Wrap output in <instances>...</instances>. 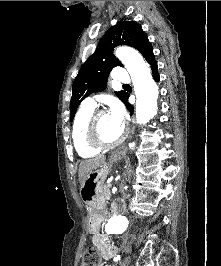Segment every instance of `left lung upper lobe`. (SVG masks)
<instances>
[{"mask_svg": "<svg viewBox=\"0 0 221 266\" xmlns=\"http://www.w3.org/2000/svg\"><path fill=\"white\" fill-rule=\"evenodd\" d=\"M118 45L136 48L149 64L155 61L153 47L141 25L134 21H118L101 38L94 54L87 59L74 80L70 101V121L73 120L84 98L106 88L112 68L122 66L113 54L114 47ZM116 95L124 102L128 94L120 91L116 92Z\"/></svg>", "mask_w": 221, "mask_h": 266, "instance_id": "5c2ea615", "label": "left lung upper lobe"}]
</instances>
